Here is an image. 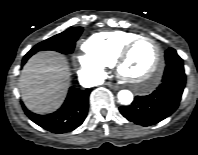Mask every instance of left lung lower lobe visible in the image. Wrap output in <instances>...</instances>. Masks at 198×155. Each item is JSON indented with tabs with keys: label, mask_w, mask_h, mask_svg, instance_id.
<instances>
[{
	"label": "left lung lower lobe",
	"mask_w": 198,
	"mask_h": 155,
	"mask_svg": "<svg viewBox=\"0 0 198 155\" xmlns=\"http://www.w3.org/2000/svg\"><path fill=\"white\" fill-rule=\"evenodd\" d=\"M185 82L183 63H170L165 68L161 84L153 93L136 96L131 105L119 110L125 118L138 125L156 124L178 108Z\"/></svg>",
	"instance_id": "left-lung-lower-lobe-1"
}]
</instances>
